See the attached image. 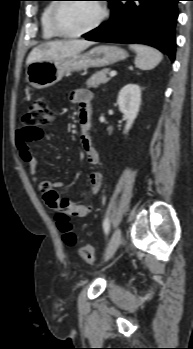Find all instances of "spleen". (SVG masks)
<instances>
[{
    "instance_id": "spleen-1",
    "label": "spleen",
    "mask_w": 193,
    "mask_h": 349,
    "mask_svg": "<svg viewBox=\"0 0 193 349\" xmlns=\"http://www.w3.org/2000/svg\"><path fill=\"white\" fill-rule=\"evenodd\" d=\"M129 47L136 52L135 65L141 70L153 69L163 59L162 53L152 47L139 44H131Z\"/></svg>"
}]
</instances>
